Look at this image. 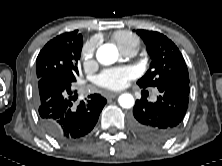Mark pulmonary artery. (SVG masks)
I'll use <instances>...</instances> for the list:
<instances>
[{
  "mask_svg": "<svg viewBox=\"0 0 222 166\" xmlns=\"http://www.w3.org/2000/svg\"><path fill=\"white\" fill-rule=\"evenodd\" d=\"M136 53V51H127V52H124V55L126 56H132Z\"/></svg>",
  "mask_w": 222,
  "mask_h": 166,
  "instance_id": "e3ab8cb5",
  "label": "pulmonary artery"
}]
</instances>
